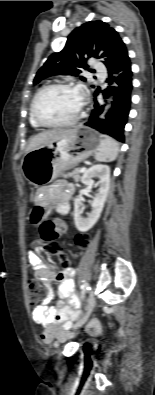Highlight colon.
Masks as SVG:
<instances>
[{"label": "colon", "mask_w": 155, "mask_h": 395, "mask_svg": "<svg viewBox=\"0 0 155 395\" xmlns=\"http://www.w3.org/2000/svg\"><path fill=\"white\" fill-rule=\"evenodd\" d=\"M31 220L34 224H39L38 230L41 238L33 242V247L41 249L43 252L49 254V256H57L64 267L65 272H74L75 267L71 265L70 259H68V250H61L57 243L59 229L54 222H60V215H53L52 220H44V210L41 207H36L31 216ZM76 242L80 245H84L87 239L78 236ZM29 289V301L31 304H37L46 298L45 288L35 280L28 282Z\"/></svg>", "instance_id": "1"}]
</instances>
